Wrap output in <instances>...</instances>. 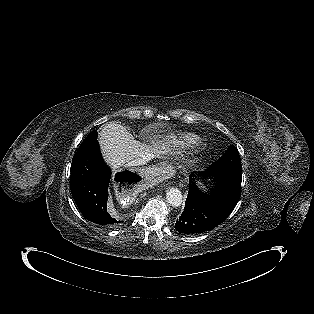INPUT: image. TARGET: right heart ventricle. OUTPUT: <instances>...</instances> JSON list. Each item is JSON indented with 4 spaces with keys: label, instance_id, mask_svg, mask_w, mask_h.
Returning a JSON list of instances; mask_svg holds the SVG:
<instances>
[{
    "label": "right heart ventricle",
    "instance_id": "e07e8e85",
    "mask_svg": "<svg viewBox=\"0 0 314 314\" xmlns=\"http://www.w3.org/2000/svg\"><path fill=\"white\" fill-rule=\"evenodd\" d=\"M173 140L175 141L177 145L181 147H185L194 140V136L190 134H181V135L175 136Z\"/></svg>",
    "mask_w": 314,
    "mask_h": 314
}]
</instances>
